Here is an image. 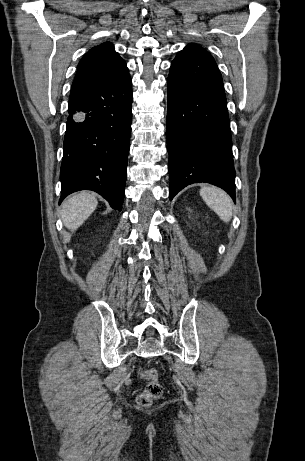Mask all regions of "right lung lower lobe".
I'll return each mask as SVG.
<instances>
[{
    "label": "right lung lower lobe",
    "instance_id": "right-lung-lower-lobe-1",
    "mask_svg": "<svg viewBox=\"0 0 305 461\" xmlns=\"http://www.w3.org/2000/svg\"><path fill=\"white\" fill-rule=\"evenodd\" d=\"M129 73L72 88L60 170V203L76 191L99 193L121 211L132 119Z\"/></svg>",
    "mask_w": 305,
    "mask_h": 461
}]
</instances>
